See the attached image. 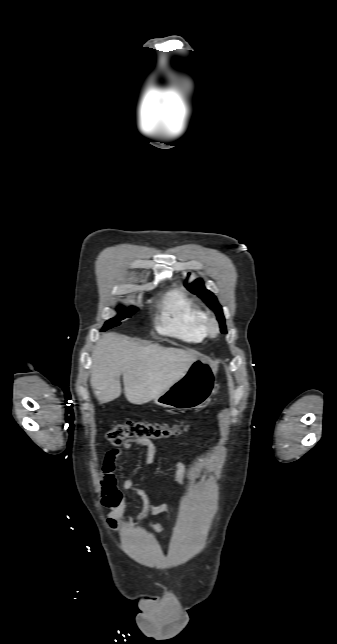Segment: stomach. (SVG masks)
I'll list each match as a JSON object with an SVG mask.
<instances>
[{"label": "stomach", "instance_id": "obj_1", "mask_svg": "<svg viewBox=\"0 0 337 644\" xmlns=\"http://www.w3.org/2000/svg\"><path fill=\"white\" fill-rule=\"evenodd\" d=\"M215 389V371L206 357L197 358L186 374L154 399L157 405L175 410L201 407Z\"/></svg>", "mask_w": 337, "mask_h": 644}]
</instances>
